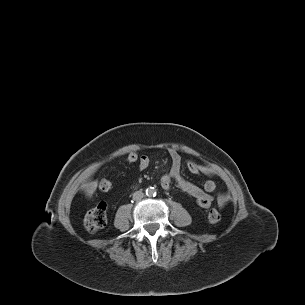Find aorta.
Segmentation results:
<instances>
[{"label":"aorta","instance_id":"762f6f07","mask_svg":"<svg viewBox=\"0 0 305 305\" xmlns=\"http://www.w3.org/2000/svg\"><path fill=\"white\" fill-rule=\"evenodd\" d=\"M146 195H147V196H150V197L156 195V190H155V188H153V187L147 188V189H146Z\"/></svg>","mask_w":305,"mask_h":305}]
</instances>
